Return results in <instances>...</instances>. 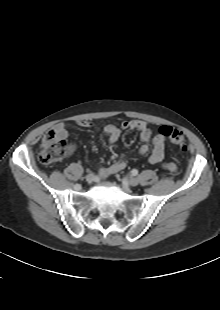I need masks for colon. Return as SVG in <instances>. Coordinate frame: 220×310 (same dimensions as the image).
Returning a JSON list of instances; mask_svg holds the SVG:
<instances>
[{
	"instance_id": "colon-1",
	"label": "colon",
	"mask_w": 220,
	"mask_h": 310,
	"mask_svg": "<svg viewBox=\"0 0 220 310\" xmlns=\"http://www.w3.org/2000/svg\"><path fill=\"white\" fill-rule=\"evenodd\" d=\"M158 132L171 143L180 147L185 146V136L181 130L171 126H161ZM67 152L64 139L55 130H50L44 135L39 158L46 164H54L63 160Z\"/></svg>"
}]
</instances>
